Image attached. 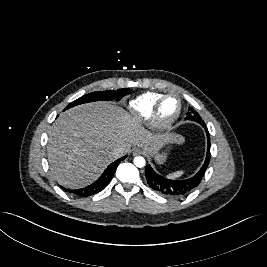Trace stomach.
<instances>
[{"label":"stomach","mask_w":267,"mask_h":267,"mask_svg":"<svg viewBox=\"0 0 267 267\" xmlns=\"http://www.w3.org/2000/svg\"><path fill=\"white\" fill-rule=\"evenodd\" d=\"M173 142H167L163 147L165 148L163 152H155L152 155L155 158V161L158 164H162L166 161L167 159V155H168V151L170 150L171 146H172Z\"/></svg>","instance_id":"stomach-1"}]
</instances>
